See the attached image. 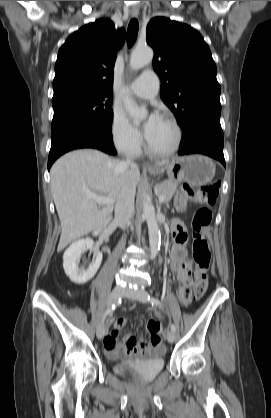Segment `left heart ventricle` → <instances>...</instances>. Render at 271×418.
Instances as JSON below:
<instances>
[{
	"mask_svg": "<svg viewBox=\"0 0 271 418\" xmlns=\"http://www.w3.org/2000/svg\"><path fill=\"white\" fill-rule=\"evenodd\" d=\"M151 146L157 150L170 148L175 141V130L164 118H161L152 134L147 138Z\"/></svg>",
	"mask_w": 271,
	"mask_h": 418,
	"instance_id": "left-heart-ventricle-1",
	"label": "left heart ventricle"
}]
</instances>
